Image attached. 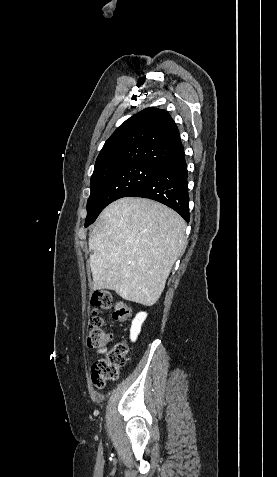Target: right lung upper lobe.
Listing matches in <instances>:
<instances>
[{
	"mask_svg": "<svg viewBox=\"0 0 277 477\" xmlns=\"http://www.w3.org/2000/svg\"><path fill=\"white\" fill-rule=\"evenodd\" d=\"M182 150L179 130L168 112L146 108L126 120L105 142L93 174L130 163L158 167Z\"/></svg>",
	"mask_w": 277,
	"mask_h": 477,
	"instance_id": "1",
	"label": "right lung upper lobe"
}]
</instances>
